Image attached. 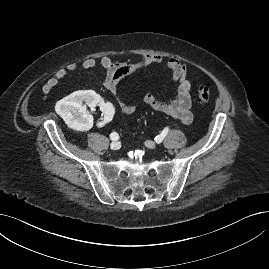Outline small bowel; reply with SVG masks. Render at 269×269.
I'll return each mask as SVG.
<instances>
[{
  "mask_svg": "<svg viewBox=\"0 0 269 269\" xmlns=\"http://www.w3.org/2000/svg\"><path fill=\"white\" fill-rule=\"evenodd\" d=\"M164 62V58L156 54H140L135 58L116 62L108 56H103L99 60L85 59L81 62H74L56 71L43 85L42 92L49 94L58 83L69 73L77 69L90 70L100 66L103 70V85L114 96L117 97L120 110L127 115L137 111V105L127 103L118 97V82L124 73H132L150 65H158ZM166 67L171 74V80L176 86V94L169 101H162L154 94L145 93L141 100L149 108L166 114L183 124H190L193 120L191 111L192 82L188 77V65L185 61L178 58H170L166 61Z\"/></svg>",
  "mask_w": 269,
  "mask_h": 269,
  "instance_id": "obj_1",
  "label": "small bowel"
}]
</instances>
